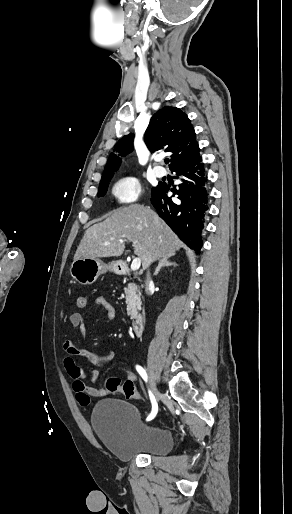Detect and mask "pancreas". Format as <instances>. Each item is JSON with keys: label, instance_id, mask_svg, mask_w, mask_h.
Listing matches in <instances>:
<instances>
[{"label": "pancreas", "instance_id": "obj_1", "mask_svg": "<svg viewBox=\"0 0 292 514\" xmlns=\"http://www.w3.org/2000/svg\"><path fill=\"white\" fill-rule=\"evenodd\" d=\"M126 294L127 314L130 318L137 316V308L140 306V292L134 288L133 284H128V288H124Z\"/></svg>", "mask_w": 292, "mask_h": 514}]
</instances>
